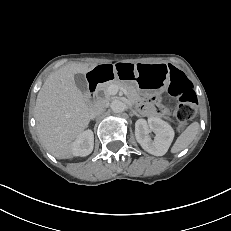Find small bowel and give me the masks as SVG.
<instances>
[{"instance_id":"small-bowel-1","label":"small bowel","mask_w":231,"mask_h":231,"mask_svg":"<svg viewBox=\"0 0 231 231\" xmlns=\"http://www.w3.org/2000/svg\"><path fill=\"white\" fill-rule=\"evenodd\" d=\"M147 109L152 110L150 107H148Z\"/></svg>"}]
</instances>
